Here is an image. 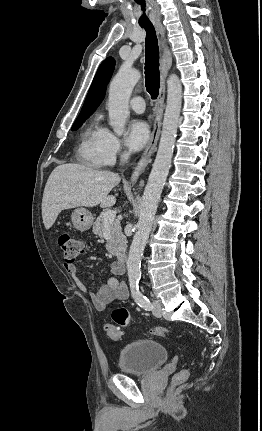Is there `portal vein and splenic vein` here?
I'll return each mask as SVG.
<instances>
[{"mask_svg": "<svg viewBox=\"0 0 262 431\" xmlns=\"http://www.w3.org/2000/svg\"><path fill=\"white\" fill-rule=\"evenodd\" d=\"M116 214L112 210H108L104 213V223L105 225L113 222L115 220Z\"/></svg>", "mask_w": 262, "mask_h": 431, "instance_id": "obj_1", "label": "portal vein and splenic vein"}]
</instances>
